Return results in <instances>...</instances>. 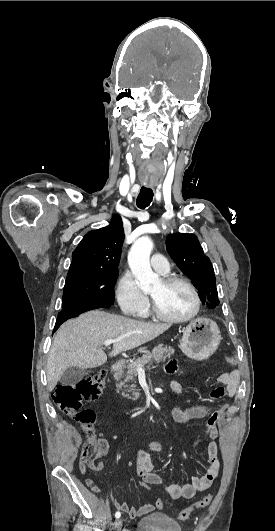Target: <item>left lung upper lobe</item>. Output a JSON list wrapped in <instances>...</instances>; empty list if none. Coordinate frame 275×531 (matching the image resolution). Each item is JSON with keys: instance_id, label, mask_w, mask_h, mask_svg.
I'll return each mask as SVG.
<instances>
[{"instance_id": "obj_1", "label": "left lung upper lobe", "mask_w": 275, "mask_h": 531, "mask_svg": "<svg viewBox=\"0 0 275 531\" xmlns=\"http://www.w3.org/2000/svg\"><path fill=\"white\" fill-rule=\"evenodd\" d=\"M166 248L180 270L186 274L199 290L202 303L208 301L210 308L219 304L216 278L210 259L194 234L174 233L166 238Z\"/></svg>"}]
</instances>
